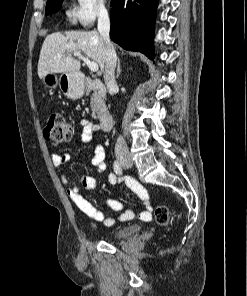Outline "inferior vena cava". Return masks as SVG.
Masks as SVG:
<instances>
[{
	"label": "inferior vena cava",
	"instance_id": "602c4592",
	"mask_svg": "<svg viewBox=\"0 0 247 296\" xmlns=\"http://www.w3.org/2000/svg\"><path fill=\"white\" fill-rule=\"evenodd\" d=\"M98 31L105 44V68H104V81L106 87L111 95L117 89L115 80V67L117 62V55L109 38L110 31V18L106 9L101 10L98 19ZM116 152H126L127 144L124 138L120 135L115 145Z\"/></svg>",
	"mask_w": 247,
	"mask_h": 296
}]
</instances>
